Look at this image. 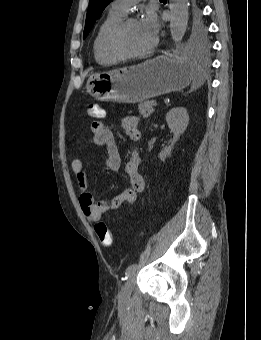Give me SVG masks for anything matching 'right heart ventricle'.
<instances>
[{"label": "right heart ventricle", "mask_w": 261, "mask_h": 340, "mask_svg": "<svg viewBox=\"0 0 261 340\" xmlns=\"http://www.w3.org/2000/svg\"><path fill=\"white\" fill-rule=\"evenodd\" d=\"M125 15L114 11L112 9L109 10L105 18L102 20L98 29L96 31L92 49L94 53V58L96 62L100 65H111L119 61V59L113 55H111L105 46V40L107 34L112 29V27L118 23Z\"/></svg>", "instance_id": "obj_1"}]
</instances>
